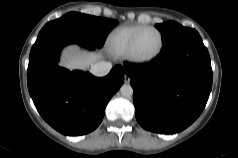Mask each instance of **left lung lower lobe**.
<instances>
[{
  "label": "left lung lower lobe",
  "instance_id": "1",
  "mask_svg": "<svg viewBox=\"0 0 238 158\" xmlns=\"http://www.w3.org/2000/svg\"><path fill=\"white\" fill-rule=\"evenodd\" d=\"M131 78L135 115L146 130L172 134L192 124L212 87L210 57L199 34L163 48L146 65H124Z\"/></svg>",
  "mask_w": 238,
  "mask_h": 158
}]
</instances>
